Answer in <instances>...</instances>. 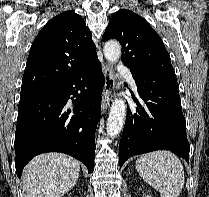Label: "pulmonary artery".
I'll list each match as a JSON object with an SVG mask.
<instances>
[{"label":"pulmonary artery","mask_w":209,"mask_h":197,"mask_svg":"<svg viewBox=\"0 0 209 197\" xmlns=\"http://www.w3.org/2000/svg\"><path fill=\"white\" fill-rule=\"evenodd\" d=\"M118 71H119V73H121L122 75H124L128 79L131 87L134 90H137V85H136L135 80L133 78L131 69H129L128 67H125V66H120L118 68Z\"/></svg>","instance_id":"e3ab8cb5"}]
</instances>
